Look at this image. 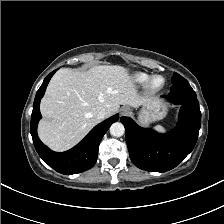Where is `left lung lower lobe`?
<instances>
[{"label": "left lung lower lobe", "instance_id": "obj_1", "mask_svg": "<svg viewBox=\"0 0 224 224\" xmlns=\"http://www.w3.org/2000/svg\"><path fill=\"white\" fill-rule=\"evenodd\" d=\"M181 105L179 122L171 132L158 134L121 117L126 130V143L132 162L140 169L166 172L176 167L194 148L201 125V112L196 93L187 80L173 84L164 96Z\"/></svg>", "mask_w": 224, "mask_h": 224}]
</instances>
